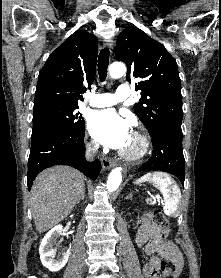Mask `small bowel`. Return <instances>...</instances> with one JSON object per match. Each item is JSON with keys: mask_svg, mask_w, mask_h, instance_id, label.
I'll use <instances>...</instances> for the list:
<instances>
[{"mask_svg": "<svg viewBox=\"0 0 221 278\" xmlns=\"http://www.w3.org/2000/svg\"><path fill=\"white\" fill-rule=\"evenodd\" d=\"M167 230L155 226L150 215L142 218L135 238L137 246L143 247L148 260L143 265L142 278H161L159 266L161 260L172 261L177 272L182 269L183 259L178 248L166 240Z\"/></svg>", "mask_w": 221, "mask_h": 278, "instance_id": "1", "label": "small bowel"}]
</instances>
